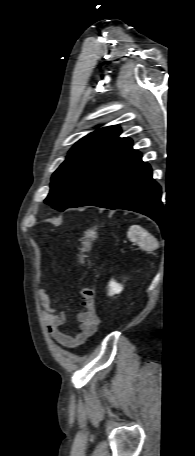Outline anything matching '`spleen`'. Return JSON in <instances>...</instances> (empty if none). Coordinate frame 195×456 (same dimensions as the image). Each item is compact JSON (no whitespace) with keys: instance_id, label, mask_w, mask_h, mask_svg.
<instances>
[{"instance_id":"3e777b00","label":"spleen","mask_w":195,"mask_h":456,"mask_svg":"<svg viewBox=\"0 0 195 456\" xmlns=\"http://www.w3.org/2000/svg\"><path fill=\"white\" fill-rule=\"evenodd\" d=\"M128 238L145 250H153L158 245L154 237L139 225L129 228Z\"/></svg>"}]
</instances>
